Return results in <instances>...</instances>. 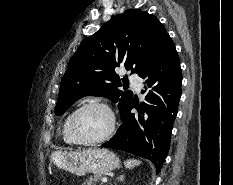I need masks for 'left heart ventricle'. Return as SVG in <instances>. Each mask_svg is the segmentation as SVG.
Returning a JSON list of instances; mask_svg holds the SVG:
<instances>
[{"instance_id": "obj_1", "label": "left heart ventricle", "mask_w": 233, "mask_h": 185, "mask_svg": "<svg viewBox=\"0 0 233 185\" xmlns=\"http://www.w3.org/2000/svg\"><path fill=\"white\" fill-rule=\"evenodd\" d=\"M111 124L108 112L102 108H89L79 114L75 121L78 135L84 139H94L104 135Z\"/></svg>"}]
</instances>
